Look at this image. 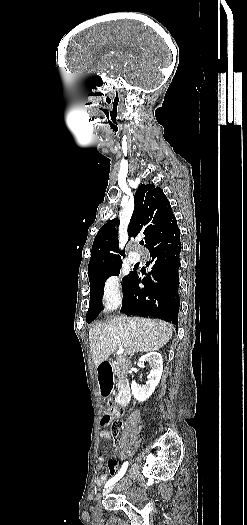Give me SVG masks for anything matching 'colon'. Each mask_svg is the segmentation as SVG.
I'll return each instance as SVG.
<instances>
[{
	"label": "colon",
	"instance_id": "colon-1",
	"mask_svg": "<svg viewBox=\"0 0 247 525\" xmlns=\"http://www.w3.org/2000/svg\"><path fill=\"white\" fill-rule=\"evenodd\" d=\"M117 413V407L114 406V405H111L110 407H108V411L106 412L104 418L101 420V425L105 428H108L111 426L112 424V421L111 419L116 415ZM116 426L117 427H121L122 426V422L120 420H117L116 421Z\"/></svg>",
	"mask_w": 247,
	"mask_h": 525
}]
</instances>
